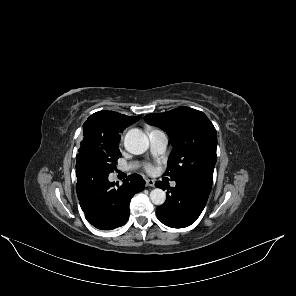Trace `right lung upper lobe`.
<instances>
[{
	"label": "right lung upper lobe",
	"instance_id": "right-lung-upper-lobe-1",
	"mask_svg": "<svg viewBox=\"0 0 296 296\" xmlns=\"http://www.w3.org/2000/svg\"><path fill=\"white\" fill-rule=\"evenodd\" d=\"M140 118L141 116L128 117L126 115L107 110L96 112L83 124L84 138L106 140L114 136H120V133L126 127Z\"/></svg>",
	"mask_w": 296,
	"mask_h": 296
}]
</instances>
